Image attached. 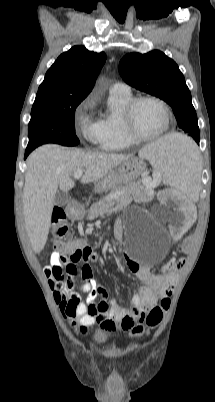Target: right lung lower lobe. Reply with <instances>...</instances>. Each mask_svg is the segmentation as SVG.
Masks as SVG:
<instances>
[{
  "label": "right lung lower lobe",
  "mask_w": 215,
  "mask_h": 402,
  "mask_svg": "<svg viewBox=\"0 0 215 402\" xmlns=\"http://www.w3.org/2000/svg\"><path fill=\"white\" fill-rule=\"evenodd\" d=\"M31 151H32V150L26 149L25 158L28 156V154H29Z\"/></svg>",
  "instance_id": "obj_1"
}]
</instances>
